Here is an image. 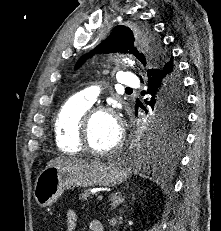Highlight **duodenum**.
Segmentation results:
<instances>
[{"instance_id": "410a0bca", "label": "duodenum", "mask_w": 221, "mask_h": 231, "mask_svg": "<svg viewBox=\"0 0 221 231\" xmlns=\"http://www.w3.org/2000/svg\"><path fill=\"white\" fill-rule=\"evenodd\" d=\"M91 231H102V228L96 225H92Z\"/></svg>"}]
</instances>
